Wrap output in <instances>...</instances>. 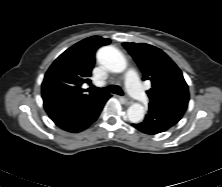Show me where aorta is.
<instances>
[{
  "mask_svg": "<svg viewBox=\"0 0 222 187\" xmlns=\"http://www.w3.org/2000/svg\"><path fill=\"white\" fill-rule=\"evenodd\" d=\"M97 60L104 68L114 73H122L127 67L124 55L112 46H104L97 52ZM145 109L140 103L132 104L127 110L130 122L140 123L143 121Z\"/></svg>",
  "mask_w": 222,
  "mask_h": 187,
  "instance_id": "762f6f07",
  "label": "aorta"
}]
</instances>
